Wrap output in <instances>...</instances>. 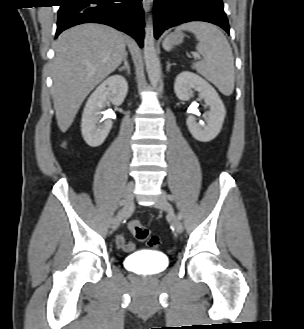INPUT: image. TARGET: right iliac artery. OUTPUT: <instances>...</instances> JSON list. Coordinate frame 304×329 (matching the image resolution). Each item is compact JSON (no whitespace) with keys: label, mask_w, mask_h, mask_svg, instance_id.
<instances>
[{"label":"right iliac artery","mask_w":304,"mask_h":329,"mask_svg":"<svg viewBox=\"0 0 304 329\" xmlns=\"http://www.w3.org/2000/svg\"><path fill=\"white\" fill-rule=\"evenodd\" d=\"M124 203H125V200H122V201H120L119 205H120V206H123ZM116 218H117V217H113V218L111 219V223H112V224L115 222Z\"/></svg>","instance_id":"82829eb1"}]
</instances>
